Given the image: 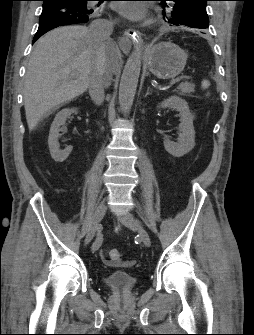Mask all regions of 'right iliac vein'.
Instances as JSON below:
<instances>
[{
	"label": "right iliac vein",
	"mask_w": 254,
	"mask_h": 335,
	"mask_svg": "<svg viewBox=\"0 0 254 335\" xmlns=\"http://www.w3.org/2000/svg\"><path fill=\"white\" fill-rule=\"evenodd\" d=\"M105 213H106V205L103 202H101L98 204L95 210L92 220V226L84 239V246L88 245L93 240L94 236L99 230V224L103 219V217L105 216Z\"/></svg>",
	"instance_id": "1"
}]
</instances>
